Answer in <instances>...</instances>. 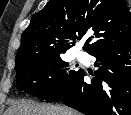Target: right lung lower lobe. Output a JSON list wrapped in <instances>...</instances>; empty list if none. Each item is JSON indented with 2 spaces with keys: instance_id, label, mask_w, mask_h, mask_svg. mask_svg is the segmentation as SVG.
<instances>
[{
  "instance_id": "98d812e1",
  "label": "right lung lower lobe",
  "mask_w": 131,
  "mask_h": 115,
  "mask_svg": "<svg viewBox=\"0 0 131 115\" xmlns=\"http://www.w3.org/2000/svg\"><path fill=\"white\" fill-rule=\"evenodd\" d=\"M95 78L84 82V71L62 93L65 105L85 115H131V43L102 49Z\"/></svg>"
}]
</instances>
